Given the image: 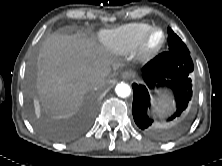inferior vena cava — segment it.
<instances>
[{
  "instance_id": "obj_1",
  "label": "inferior vena cava",
  "mask_w": 222,
  "mask_h": 166,
  "mask_svg": "<svg viewBox=\"0 0 222 166\" xmlns=\"http://www.w3.org/2000/svg\"><path fill=\"white\" fill-rule=\"evenodd\" d=\"M89 82L91 84L96 85V86L99 87L102 84V78L101 77L92 76V77H90Z\"/></svg>"
}]
</instances>
